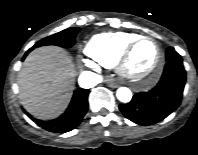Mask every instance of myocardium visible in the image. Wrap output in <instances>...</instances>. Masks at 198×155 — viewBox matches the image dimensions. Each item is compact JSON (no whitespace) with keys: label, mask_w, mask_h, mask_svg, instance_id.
<instances>
[{"label":"myocardium","mask_w":198,"mask_h":155,"mask_svg":"<svg viewBox=\"0 0 198 155\" xmlns=\"http://www.w3.org/2000/svg\"><path fill=\"white\" fill-rule=\"evenodd\" d=\"M149 40L155 43L157 47V58L152 69L144 75H136L131 73L127 66L130 61L131 55L135 47L142 41ZM164 61V52L159 42L150 36L140 35L133 39L122 51L117 59L116 66L119 74L126 79L129 83L137 87H147L153 84L159 76L161 67Z\"/></svg>","instance_id":"obj_1"}]
</instances>
